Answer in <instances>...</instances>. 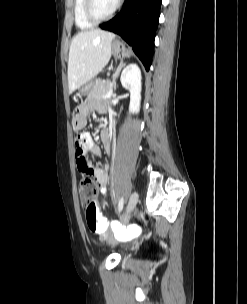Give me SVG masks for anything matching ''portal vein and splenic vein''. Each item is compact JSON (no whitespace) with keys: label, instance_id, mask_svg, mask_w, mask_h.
<instances>
[{"label":"portal vein and splenic vein","instance_id":"1","mask_svg":"<svg viewBox=\"0 0 247 304\" xmlns=\"http://www.w3.org/2000/svg\"><path fill=\"white\" fill-rule=\"evenodd\" d=\"M112 94V89L109 90V92L106 94V96H110Z\"/></svg>","mask_w":247,"mask_h":304}]
</instances>
